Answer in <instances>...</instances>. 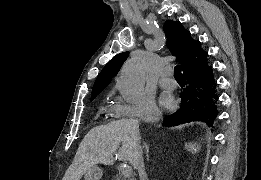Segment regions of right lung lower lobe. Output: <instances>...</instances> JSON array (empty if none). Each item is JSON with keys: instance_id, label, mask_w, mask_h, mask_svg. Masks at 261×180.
<instances>
[{"instance_id": "1", "label": "right lung lower lobe", "mask_w": 261, "mask_h": 180, "mask_svg": "<svg viewBox=\"0 0 261 180\" xmlns=\"http://www.w3.org/2000/svg\"><path fill=\"white\" fill-rule=\"evenodd\" d=\"M186 87L181 93L180 108L167 116L164 126H176L186 122L204 121L213 124L217 116L218 95L216 82L207 61L183 73Z\"/></svg>"}]
</instances>
